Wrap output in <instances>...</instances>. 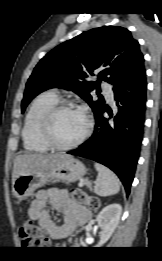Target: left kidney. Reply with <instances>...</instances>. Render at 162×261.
<instances>
[{
	"label": "left kidney",
	"instance_id": "obj_1",
	"mask_svg": "<svg viewBox=\"0 0 162 261\" xmlns=\"http://www.w3.org/2000/svg\"><path fill=\"white\" fill-rule=\"evenodd\" d=\"M121 212V205L113 203L103 208L98 214L96 221L101 228V233L97 247H101L110 239L119 223Z\"/></svg>",
	"mask_w": 162,
	"mask_h": 261
}]
</instances>
